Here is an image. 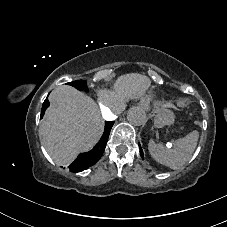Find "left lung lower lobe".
<instances>
[{"instance_id": "left-lung-lower-lobe-1", "label": "left lung lower lobe", "mask_w": 227, "mask_h": 227, "mask_svg": "<svg viewBox=\"0 0 227 227\" xmlns=\"http://www.w3.org/2000/svg\"><path fill=\"white\" fill-rule=\"evenodd\" d=\"M139 147H140V155L143 158V151H142V148H141L140 144H139Z\"/></svg>"}]
</instances>
